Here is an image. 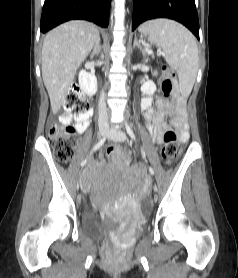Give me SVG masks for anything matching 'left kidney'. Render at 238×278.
<instances>
[{
  "label": "left kidney",
  "mask_w": 238,
  "mask_h": 278,
  "mask_svg": "<svg viewBox=\"0 0 238 278\" xmlns=\"http://www.w3.org/2000/svg\"><path fill=\"white\" fill-rule=\"evenodd\" d=\"M155 91H156V85L150 80L144 82L141 86V92L143 94L153 95Z\"/></svg>",
  "instance_id": "left-kidney-1"
}]
</instances>
